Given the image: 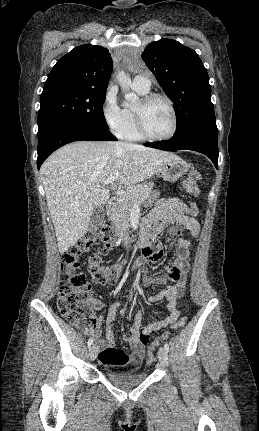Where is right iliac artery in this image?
Here are the masks:
<instances>
[{"label":"right iliac artery","instance_id":"obj_1","mask_svg":"<svg viewBox=\"0 0 259 431\" xmlns=\"http://www.w3.org/2000/svg\"><path fill=\"white\" fill-rule=\"evenodd\" d=\"M92 344H93V338H90V339L88 340V346L90 347Z\"/></svg>","mask_w":259,"mask_h":431}]
</instances>
